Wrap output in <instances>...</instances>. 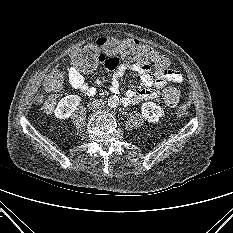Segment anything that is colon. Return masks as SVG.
Here are the masks:
<instances>
[{"label": "colon", "mask_w": 233, "mask_h": 233, "mask_svg": "<svg viewBox=\"0 0 233 233\" xmlns=\"http://www.w3.org/2000/svg\"><path fill=\"white\" fill-rule=\"evenodd\" d=\"M109 57L122 58L128 64L152 65L157 69H167L168 58L146 44L135 39H120L116 37L100 38L95 44L85 45L71 55L74 66L84 71H91L100 61ZM64 83V73L60 68H53L44 81V87L50 94L43 102L42 108L45 112H51L56 103L58 91ZM163 103L167 107H174L180 99V91L175 87H168L162 94Z\"/></svg>", "instance_id": "1"}]
</instances>
